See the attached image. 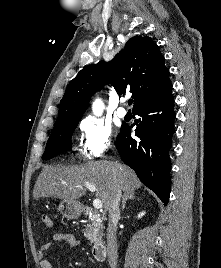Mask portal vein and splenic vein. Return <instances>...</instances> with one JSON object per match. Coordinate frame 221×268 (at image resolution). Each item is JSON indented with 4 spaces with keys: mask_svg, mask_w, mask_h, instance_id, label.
<instances>
[{
    "mask_svg": "<svg viewBox=\"0 0 221 268\" xmlns=\"http://www.w3.org/2000/svg\"><path fill=\"white\" fill-rule=\"evenodd\" d=\"M82 186L86 187V188L89 189L91 192H95V191H96V187H95V185H93V184L86 183V184H84V185H82ZM82 186H81V187H82ZM93 207H94L95 209H100V208L102 207V201H101V199H99V198L94 199V200H93Z\"/></svg>",
    "mask_w": 221,
    "mask_h": 268,
    "instance_id": "portal-vein-and-splenic-vein-1",
    "label": "portal vein and splenic vein"
}]
</instances>
